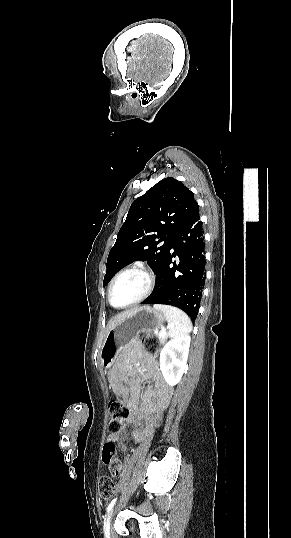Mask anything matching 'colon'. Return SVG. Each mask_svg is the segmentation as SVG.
Wrapping results in <instances>:
<instances>
[{
  "label": "colon",
  "instance_id": "obj_1",
  "mask_svg": "<svg viewBox=\"0 0 291 538\" xmlns=\"http://www.w3.org/2000/svg\"><path fill=\"white\" fill-rule=\"evenodd\" d=\"M142 344L144 348L151 354H157L160 350V342L158 338L152 335H145L142 337ZM110 413L109 427L112 432L120 431L129 415V404L126 400L115 395L112 397L108 404ZM103 461L107 465H114L115 458V445L112 442H106L103 447ZM98 490L102 498H110L115 492V484L110 475H101L98 481Z\"/></svg>",
  "mask_w": 291,
  "mask_h": 538
}]
</instances>
